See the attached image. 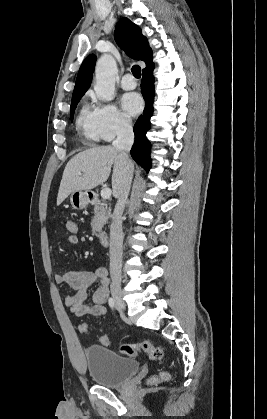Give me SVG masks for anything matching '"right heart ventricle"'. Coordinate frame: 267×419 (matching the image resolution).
<instances>
[{
  "mask_svg": "<svg viewBox=\"0 0 267 419\" xmlns=\"http://www.w3.org/2000/svg\"><path fill=\"white\" fill-rule=\"evenodd\" d=\"M76 127L79 133L87 140L96 142L100 138L98 131L96 108L85 103L77 116Z\"/></svg>",
  "mask_w": 267,
  "mask_h": 419,
  "instance_id": "right-heart-ventricle-1",
  "label": "right heart ventricle"
}]
</instances>
